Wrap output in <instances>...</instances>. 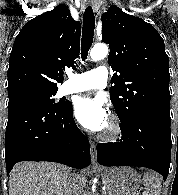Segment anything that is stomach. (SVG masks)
I'll return each instance as SVG.
<instances>
[{
    "label": "stomach",
    "mask_w": 178,
    "mask_h": 195,
    "mask_svg": "<svg viewBox=\"0 0 178 195\" xmlns=\"http://www.w3.org/2000/svg\"><path fill=\"white\" fill-rule=\"evenodd\" d=\"M108 195H139L140 176L130 167H111L101 170Z\"/></svg>",
    "instance_id": "stomach-1"
}]
</instances>
